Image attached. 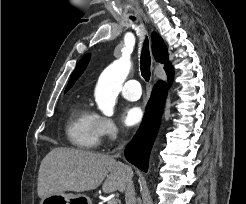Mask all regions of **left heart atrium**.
Segmentation results:
<instances>
[{
    "mask_svg": "<svg viewBox=\"0 0 246 204\" xmlns=\"http://www.w3.org/2000/svg\"><path fill=\"white\" fill-rule=\"evenodd\" d=\"M143 118V110L136 105L128 106L123 114V121L127 126L138 125Z\"/></svg>",
    "mask_w": 246,
    "mask_h": 204,
    "instance_id": "left-heart-atrium-1",
    "label": "left heart atrium"
}]
</instances>
